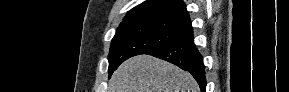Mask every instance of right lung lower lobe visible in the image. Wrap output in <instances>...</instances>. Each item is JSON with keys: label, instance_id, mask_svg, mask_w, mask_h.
I'll list each match as a JSON object with an SVG mask.
<instances>
[{"label": "right lung lower lobe", "instance_id": "right-lung-lower-lobe-1", "mask_svg": "<svg viewBox=\"0 0 289 92\" xmlns=\"http://www.w3.org/2000/svg\"><path fill=\"white\" fill-rule=\"evenodd\" d=\"M191 73L202 92L206 89L203 57L194 44L193 29L181 39L147 53Z\"/></svg>", "mask_w": 289, "mask_h": 92}]
</instances>
